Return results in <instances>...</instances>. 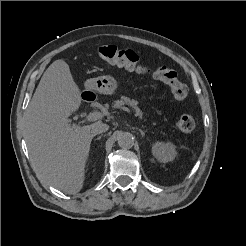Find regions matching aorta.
<instances>
[{
  "label": "aorta",
  "mask_w": 246,
  "mask_h": 246,
  "mask_svg": "<svg viewBox=\"0 0 246 246\" xmlns=\"http://www.w3.org/2000/svg\"><path fill=\"white\" fill-rule=\"evenodd\" d=\"M117 141L121 148L129 149L134 144V136L130 132H120L117 136Z\"/></svg>",
  "instance_id": "aorta-1"
}]
</instances>
